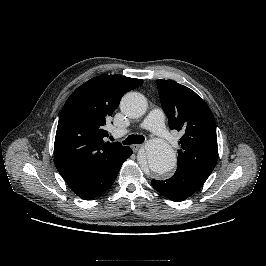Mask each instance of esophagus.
<instances>
[{"instance_id":"34e87169","label":"esophagus","mask_w":266,"mask_h":266,"mask_svg":"<svg viewBox=\"0 0 266 266\" xmlns=\"http://www.w3.org/2000/svg\"><path fill=\"white\" fill-rule=\"evenodd\" d=\"M141 147H142V144H134V145L131 146L133 152H135V153H136V152L139 150V148H141Z\"/></svg>"}]
</instances>
